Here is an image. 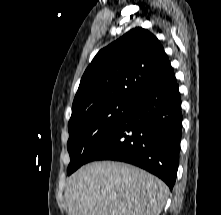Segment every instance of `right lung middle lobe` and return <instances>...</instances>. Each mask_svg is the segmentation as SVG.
<instances>
[{
	"mask_svg": "<svg viewBox=\"0 0 221 215\" xmlns=\"http://www.w3.org/2000/svg\"><path fill=\"white\" fill-rule=\"evenodd\" d=\"M132 104V101L106 100L72 107L68 123L67 148L71 159L68 175L87 162L94 149L131 110Z\"/></svg>",
	"mask_w": 221,
	"mask_h": 215,
	"instance_id": "1",
	"label": "right lung middle lobe"
}]
</instances>
